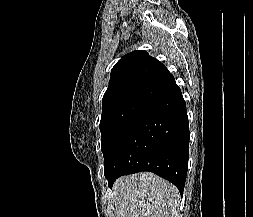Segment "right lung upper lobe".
<instances>
[{
	"mask_svg": "<svg viewBox=\"0 0 253 217\" xmlns=\"http://www.w3.org/2000/svg\"><path fill=\"white\" fill-rule=\"evenodd\" d=\"M173 84L174 77L161 62L142 50L130 52L112 69L103 109L125 100L151 102Z\"/></svg>",
	"mask_w": 253,
	"mask_h": 217,
	"instance_id": "obj_1",
	"label": "right lung upper lobe"
}]
</instances>
